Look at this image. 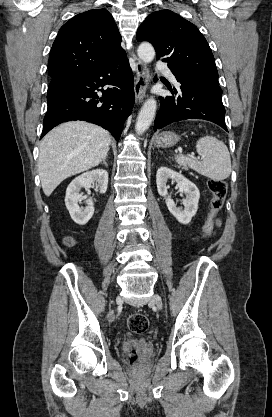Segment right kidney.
Masks as SVG:
<instances>
[{
	"instance_id": "1",
	"label": "right kidney",
	"mask_w": 272,
	"mask_h": 417,
	"mask_svg": "<svg viewBox=\"0 0 272 417\" xmlns=\"http://www.w3.org/2000/svg\"><path fill=\"white\" fill-rule=\"evenodd\" d=\"M96 185L100 193H105L108 186V172L96 169L76 177L67 187L65 205L73 221L79 225H85L94 214V204L91 199L86 200L87 206L81 208L78 201L82 198L81 188H90Z\"/></svg>"
}]
</instances>
